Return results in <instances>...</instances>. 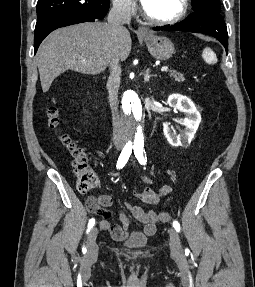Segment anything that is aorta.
Here are the masks:
<instances>
[{
	"instance_id": "762f6f07",
	"label": "aorta",
	"mask_w": 255,
	"mask_h": 287,
	"mask_svg": "<svg viewBox=\"0 0 255 287\" xmlns=\"http://www.w3.org/2000/svg\"><path fill=\"white\" fill-rule=\"evenodd\" d=\"M123 109L126 118L128 143L134 146L144 145V110L138 95L127 90L123 96Z\"/></svg>"
}]
</instances>
